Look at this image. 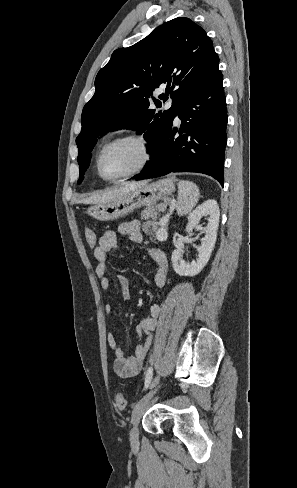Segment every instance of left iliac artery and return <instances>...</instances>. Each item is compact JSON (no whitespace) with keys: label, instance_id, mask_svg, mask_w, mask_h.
<instances>
[{"label":"left iliac artery","instance_id":"left-iliac-artery-1","mask_svg":"<svg viewBox=\"0 0 297 488\" xmlns=\"http://www.w3.org/2000/svg\"><path fill=\"white\" fill-rule=\"evenodd\" d=\"M152 375H153V368L152 367H149L148 370H147V373H146V377H145V385H144V389L147 390V388L149 387L150 383H151V380H152ZM159 378L156 377L154 379L155 382H158Z\"/></svg>","mask_w":297,"mask_h":488}]
</instances>
